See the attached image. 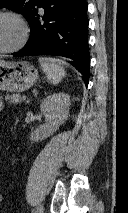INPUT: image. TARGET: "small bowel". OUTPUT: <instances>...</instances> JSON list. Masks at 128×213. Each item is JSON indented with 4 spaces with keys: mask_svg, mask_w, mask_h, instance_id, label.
I'll return each instance as SVG.
<instances>
[{
    "mask_svg": "<svg viewBox=\"0 0 128 213\" xmlns=\"http://www.w3.org/2000/svg\"><path fill=\"white\" fill-rule=\"evenodd\" d=\"M3 109V102L2 100L0 99V111Z\"/></svg>",
    "mask_w": 128,
    "mask_h": 213,
    "instance_id": "small-bowel-1",
    "label": "small bowel"
}]
</instances>
